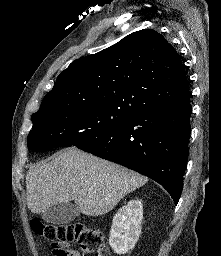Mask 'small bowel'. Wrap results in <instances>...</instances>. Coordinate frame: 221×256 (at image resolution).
<instances>
[{
	"instance_id": "obj_1",
	"label": "small bowel",
	"mask_w": 221,
	"mask_h": 256,
	"mask_svg": "<svg viewBox=\"0 0 221 256\" xmlns=\"http://www.w3.org/2000/svg\"><path fill=\"white\" fill-rule=\"evenodd\" d=\"M53 254H54V256H63L62 253H61V251L58 252V253H53ZM71 256H80V255H79V253H77V252H73V253L71 254Z\"/></svg>"
}]
</instances>
